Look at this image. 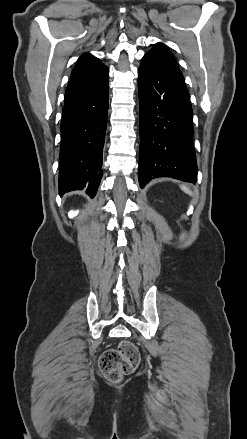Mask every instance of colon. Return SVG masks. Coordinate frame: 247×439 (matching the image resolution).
<instances>
[{
    "label": "colon",
    "mask_w": 247,
    "mask_h": 439,
    "mask_svg": "<svg viewBox=\"0 0 247 439\" xmlns=\"http://www.w3.org/2000/svg\"><path fill=\"white\" fill-rule=\"evenodd\" d=\"M140 354L130 341H122L118 348L106 350L100 357L99 366L103 375L111 382H119L138 366Z\"/></svg>",
    "instance_id": "colon-1"
}]
</instances>
